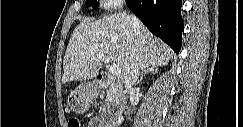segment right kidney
<instances>
[{
    "instance_id": "obj_1",
    "label": "right kidney",
    "mask_w": 243,
    "mask_h": 127,
    "mask_svg": "<svg viewBox=\"0 0 243 127\" xmlns=\"http://www.w3.org/2000/svg\"><path fill=\"white\" fill-rule=\"evenodd\" d=\"M122 121H123V117H119L118 119H117V124H121L122 123Z\"/></svg>"
}]
</instances>
